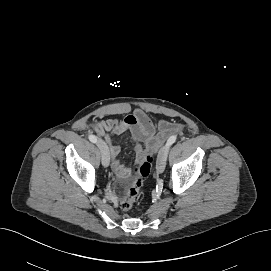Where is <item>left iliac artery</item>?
Listing matches in <instances>:
<instances>
[{
    "instance_id": "1",
    "label": "left iliac artery",
    "mask_w": 271,
    "mask_h": 271,
    "mask_svg": "<svg viewBox=\"0 0 271 271\" xmlns=\"http://www.w3.org/2000/svg\"><path fill=\"white\" fill-rule=\"evenodd\" d=\"M177 137L176 136H171L166 143L167 148L169 149V147L176 141Z\"/></svg>"
}]
</instances>
